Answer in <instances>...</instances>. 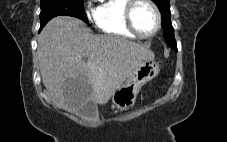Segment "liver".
I'll list each match as a JSON object with an SVG mask.
<instances>
[{
    "mask_svg": "<svg viewBox=\"0 0 227 142\" xmlns=\"http://www.w3.org/2000/svg\"><path fill=\"white\" fill-rule=\"evenodd\" d=\"M37 57L50 97L60 108L77 112L88 102L106 104L154 53L123 37L94 35L77 18L58 16L41 31Z\"/></svg>",
    "mask_w": 227,
    "mask_h": 142,
    "instance_id": "obj_1",
    "label": "liver"
}]
</instances>
